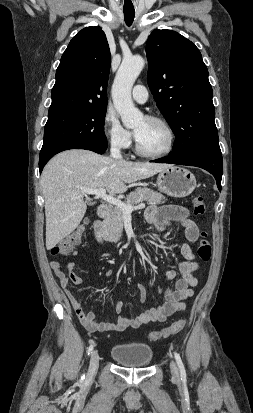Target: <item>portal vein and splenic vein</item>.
Listing matches in <instances>:
<instances>
[{
    "instance_id": "18ae733b",
    "label": "portal vein and splenic vein",
    "mask_w": 253,
    "mask_h": 413,
    "mask_svg": "<svg viewBox=\"0 0 253 413\" xmlns=\"http://www.w3.org/2000/svg\"><path fill=\"white\" fill-rule=\"evenodd\" d=\"M83 191L86 194L96 195V196L100 197L102 200H104V201H106V202H108L112 205H115L116 207H118L122 210L124 215H131V213L134 210L145 208L144 203L138 204L137 206L126 205L121 200H119V199H117V198H115L111 195L106 194L105 189H84Z\"/></svg>"
}]
</instances>
